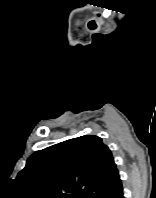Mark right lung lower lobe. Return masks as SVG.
I'll use <instances>...</instances> for the list:
<instances>
[{"instance_id": "1", "label": "right lung lower lobe", "mask_w": 156, "mask_h": 198, "mask_svg": "<svg viewBox=\"0 0 156 198\" xmlns=\"http://www.w3.org/2000/svg\"><path fill=\"white\" fill-rule=\"evenodd\" d=\"M109 198H124L123 197V188L116 190Z\"/></svg>"}]
</instances>
